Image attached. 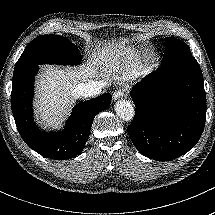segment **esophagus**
<instances>
[{
    "instance_id": "1",
    "label": "esophagus",
    "mask_w": 215,
    "mask_h": 215,
    "mask_svg": "<svg viewBox=\"0 0 215 215\" xmlns=\"http://www.w3.org/2000/svg\"><path fill=\"white\" fill-rule=\"evenodd\" d=\"M122 97H123V92L121 90H117L113 94V99L114 100H119Z\"/></svg>"
}]
</instances>
